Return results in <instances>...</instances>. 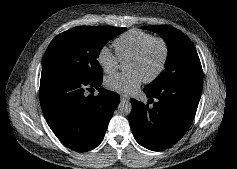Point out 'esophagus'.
I'll return each instance as SVG.
<instances>
[{"mask_svg":"<svg viewBox=\"0 0 237 169\" xmlns=\"http://www.w3.org/2000/svg\"><path fill=\"white\" fill-rule=\"evenodd\" d=\"M120 99L122 102H129L130 98L128 96L121 95Z\"/></svg>","mask_w":237,"mask_h":169,"instance_id":"1","label":"esophagus"}]
</instances>
